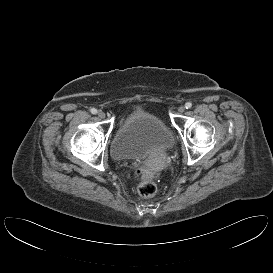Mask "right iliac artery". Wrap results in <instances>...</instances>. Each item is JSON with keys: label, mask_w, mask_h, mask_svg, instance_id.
Returning a JSON list of instances; mask_svg holds the SVG:
<instances>
[{"label": "right iliac artery", "mask_w": 273, "mask_h": 273, "mask_svg": "<svg viewBox=\"0 0 273 273\" xmlns=\"http://www.w3.org/2000/svg\"><path fill=\"white\" fill-rule=\"evenodd\" d=\"M90 111L92 114H97V109H95V108H92Z\"/></svg>", "instance_id": "82829eb1"}]
</instances>
